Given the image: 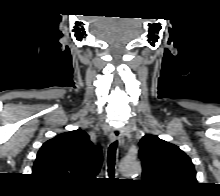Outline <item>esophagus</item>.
Wrapping results in <instances>:
<instances>
[{
  "instance_id": "esophagus-1",
  "label": "esophagus",
  "mask_w": 220,
  "mask_h": 196,
  "mask_svg": "<svg viewBox=\"0 0 220 196\" xmlns=\"http://www.w3.org/2000/svg\"><path fill=\"white\" fill-rule=\"evenodd\" d=\"M110 140L111 141H121L122 140V133L120 129H114L110 134Z\"/></svg>"
}]
</instances>
